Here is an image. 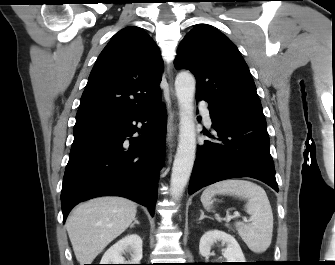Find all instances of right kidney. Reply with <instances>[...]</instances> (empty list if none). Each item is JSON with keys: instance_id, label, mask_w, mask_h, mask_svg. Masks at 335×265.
<instances>
[{"instance_id": "obj_1", "label": "right kidney", "mask_w": 335, "mask_h": 265, "mask_svg": "<svg viewBox=\"0 0 335 265\" xmlns=\"http://www.w3.org/2000/svg\"><path fill=\"white\" fill-rule=\"evenodd\" d=\"M130 252L131 260L125 262L123 253ZM142 259V239L137 234H130L112 245L103 255L100 264H140Z\"/></svg>"}]
</instances>
